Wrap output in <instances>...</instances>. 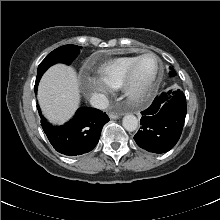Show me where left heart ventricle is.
I'll return each mask as SVG.
<instances>
[{"label":"left heart ventricle","mask_w":220,"mask_h":220,"mask_svg":"<svg viewBox=\"0 0 220 220\" xmlns=\"http://www.w3.org/2000/svg\"><path fill=\"white\" fill-rule=\"evenodd\" d=\"M157 71V61L153 56L143 58L137 66L135 85L141 87L153 78Z\"/></svg>","instance_id":"obj_1"}]
</instances>
